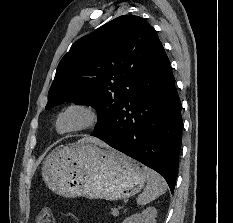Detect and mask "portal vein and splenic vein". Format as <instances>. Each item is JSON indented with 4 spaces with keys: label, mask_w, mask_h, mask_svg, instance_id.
Segmentation results:
<instances>
[{
    "label": "portal vein and splenic vein",
    "mask_w": 233,
    "mask_h": 223,
    "mask_svg": "<svg viewBox=\"0 0 233 223\" xmlns=\"http://www.w3.org/2000/svg\"><path fill=\"white\" fill-rule=\"evenodd\" d=\"M113 215H118V211H115V213H113Z\"/></svg>",
    "instance_id": "portal-vein-and-splenic-vein-1"
}]
</instances>
